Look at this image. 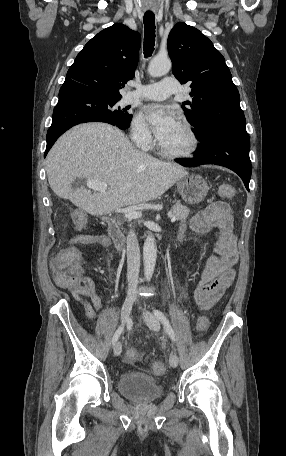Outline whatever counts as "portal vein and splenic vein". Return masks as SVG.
Here are the masks:
<instances>
[{"label":"portal vein and splenic vein","mask_w":286,"mask_h":456,"mask_svg":"<svg viewBox=\"0 0 286 456\" xmlns=\"http://www.w3.org/2000/svg\"><path fill=\"white\" fill-rule=\"evenodd\" d=\"M87 187L90 189L105 193V191L108 188V185L105 182L89 180V181H87ZM141 216H142V213L140 211H137L136 209H128L125 212V217L128 219H136V218H140ZM168 217L171 219V222L176 221V217L174 215H172L171 212L168 213Z\"/></svg>","instance_id":"1"}]
</instances>
